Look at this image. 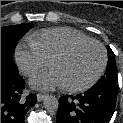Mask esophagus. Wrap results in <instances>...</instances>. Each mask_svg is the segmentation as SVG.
Segmentation results:
<instances>
[{"mask_svg": "<svg viewBox=\"0 0 123 123\" xmlns=\"http://www.w3.org/2000/svg\"><path fill=\"white\" fill-rule=\"evenodd\" d=\"M46 96H47L46 94H41V93H39V94H37V100L40 102V101L44 100V98H45Z\"/></svg>", "mask_w": 123, "mask_h": 123, "instance_id": "1", "label": "esophagus"}]
</instances>
